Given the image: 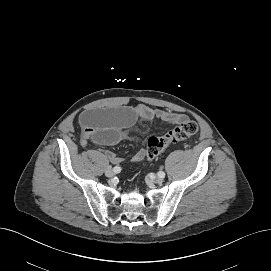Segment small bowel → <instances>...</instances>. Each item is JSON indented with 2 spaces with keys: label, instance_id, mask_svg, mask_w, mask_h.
<instances>
[{
  "label": "small bowel",
  "instance_id": "1",
  "mask_svg": "<svg viewBox=\"0 0 271 271\" xmlns=\"http://www.w3.org/2000/svg\"><path fill=\"white\" fill-rule=\"evenodd\" d=\"M160 120L176 124L187 117L180 113L155 109L144 104L126 106L115 109H95L85 111L80 116L82 128L81 144L87 146L91 143L98 145H114L128 139V129L139 120ZM146 156V150H139L131 159L138 162ZM107 157L113 163L122 160L114 153L108 151Z\"/></svg>",
  "mask_w": 271,
  "mask_h": 271
}]
</instances>
